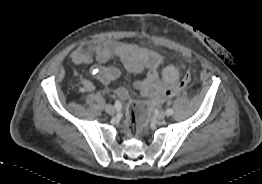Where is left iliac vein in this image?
Wrapping results in <instances>:
<instances>
[{"mask_svg": "<svg viewBox=\"0 0 262 184\" xmlns=\"http://www.w3.org/2000/svg\"><path fill=\"white\" fill-rule=\"evenodd\" d=\"M166 116V113L164 111H160L159 113L156 114V119L157 120H163Z\"/></svg>", "mask_w": 262, "mask_h": 184, "instance_id": "left-iliac-vein-1", "label": "left iliac vein"}]
</instances>
